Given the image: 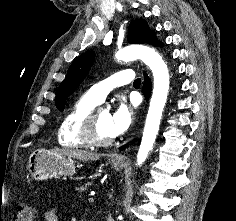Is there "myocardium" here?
I'll list each match as a JSON object with an SVG mask.
<instances>
[{"instance_id": "f54148a6", "label": "myocardium", "mask_w": 236, "mask_h": 221, "mask_svg": "<svg viewBox=\"0 0 236 221\" xmlns=\"http://www.w3.org/2000/svg\"><path fill=\"white\" fill-rule=\"evenodd\" d=\"M101 110H102L101 107H95L85 117L82 123V127H81L82 138L90 146H96V147L107 146L111 144L115 139L114 137L102 138L98 134L97 118Z\"/></svg>"}]
</instances>
